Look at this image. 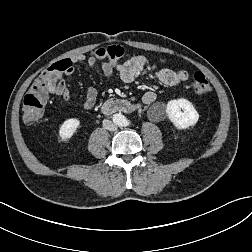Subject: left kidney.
I'll return each mask as SVG.
<instances>
[{"mask_svg": "<svg viewBox=\"0 0 252 252\" xmlns=\"http://www.w3.org/2000/svg\"><path fill=\"white\" fill-rule=\"evenodd\" d=\"M166 112L169 120L178 129H186L195 125L199 119V114L192 103L184 98L169 101L166 105Z\"/></svg>", "mask_w": 252, "mask_h": 252, "instance_id": "5707ae66", "label": "left kidney"}]
</instances>
